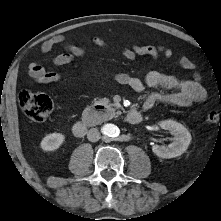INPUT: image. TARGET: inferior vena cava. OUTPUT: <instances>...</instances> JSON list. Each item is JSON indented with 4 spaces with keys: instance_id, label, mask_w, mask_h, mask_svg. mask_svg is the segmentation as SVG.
Instances as JSON below:
<instances>
[{
    "instance_id": "602c4592",
    "label": "inferior vena cava",
    "mask_w": 221,
    "mask_h": 221,
    "mask_svg": "<svg viewBox=\"0 0 221 221\" xmlns=\"http://www.w3.org/2000/svg\"><path fill=\"white\" fill-rule=\"evenodd\" d=\"M101 135L97 128H91L87 133V138L91 142H96L100 139Z\"/></svg>"
}]
</instances>
